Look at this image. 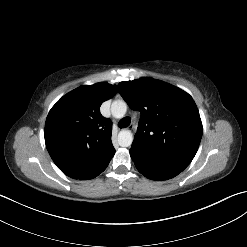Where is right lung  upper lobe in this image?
Segmentation results:
<instances>
[{
	"label": "right lung upper lobe",
	"instance_id": "right-lung-upper-lobe-1",
	"mask_svg": "<svg viewBox=\"0 0 247 247\" xmlns=\"http://www.w3.org/2000/svg\"><path fill=\"white\" fill-rule=\"evenodd\" d=\"M117 92L115 85H84L63 96L49 112L45 143L57 167L71 178L95 169L113 151L112 124L101 104Z\"/></svg>",
	"mask_w": 247,
	"mask_h": 247
}]
</instances>
